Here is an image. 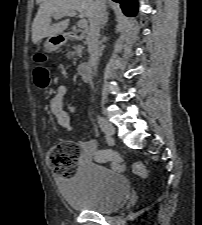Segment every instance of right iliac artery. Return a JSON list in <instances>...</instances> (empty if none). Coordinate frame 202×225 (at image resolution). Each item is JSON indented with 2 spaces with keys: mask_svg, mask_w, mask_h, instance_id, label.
I'll use <instances>...</instances> for the list:
<instances>
[{
  "mask_svg": "<svg viewBox=\"0 0 202 225\" xmlns=\"http://www.w3.org/2000/svg\"><path fill=\"white\" fill-rule=\"evenodd\" d=\"M105 140H106V142H107L109 145H112V144H113V139H112V138L106 137Z\"/></svg>",
  "mask_w": 202,
  "mask_h": 225,
  "instance_id": "obj_1",
  "label": "right iliac artery"
}]
</instances>
